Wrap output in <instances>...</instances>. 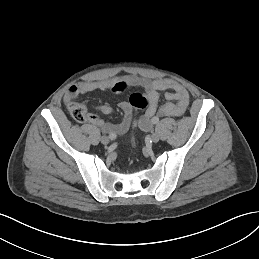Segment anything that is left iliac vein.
<instances>
[{"instance_id":"4c4485c4","label":"left iliac vein","mask_w":259,"mask_h":259,"mask_svg":"<svg viewBox=\"0 0 259 259\" xmlns=\"http://www.w3.org/2000/svg\"><path fill=\"white\" fill-rule=\"evenodd\" d=\"M151 140L154 143H157L159 141V135L157 133H153L152 136H151Z\"/></svg>"}]
</instances>
